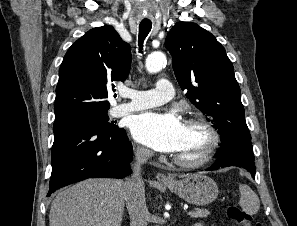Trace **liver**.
<instances>
[{
  "mask_svg": "<svg viewBox=\"0 0 297 226\" xmlns=\"http://www.w3.org/2000/svg\"><path fill=\"white\" fill-rule=\"evenodd\" d=\"M124 206L123 180L88 179L53 200L49 226H121Z\"/></svg>",
  "mask_w": 297,
  "mask_h": 226,
  "instance_id": "obj_1",
  "label": "liver"
}]
</instances>
